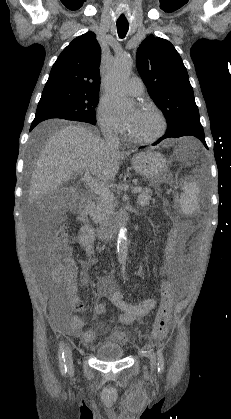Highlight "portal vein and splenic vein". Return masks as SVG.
<instances>
[{
    "instance_id": "18ae733b",
    "label": "portal vein and splenic vein",
    "mask_w": 231,
    "mask_h": 419,
    "mask_svg": "<svg viewBox=\"0 0 231 419\" xmlns=\"http://www.w3.org/2000/svg\"><path fill=\"white\" fill-rule=\"evenodd\" d=\"M83 181L86 182V184L89 186V188L98 196L105 198V199H114V194L111 192L108 188L103 186L102 184H99L97 181H95L89 171H85L83 175ZM142 190L141 187H134L132 192L134 194L140 193Z\"/></svg>"
}]
</instances>
